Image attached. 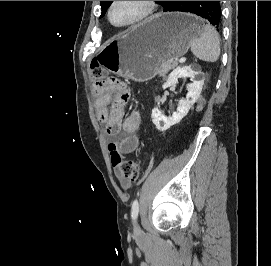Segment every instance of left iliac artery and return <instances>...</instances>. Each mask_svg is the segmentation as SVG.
<instances>
[{"mask_svg": "<svg viewBox=\"0 0 271 266\" xmlns=\"http://www.w3.org/2000/svg\"><path fill=\"white\" fill-rule=\"evenodd\" d=\"M139 212V203L137 200H134L131 207V217L133 220H136Z\"/></svg>", "mask_w": 271, "mask_h": 266, "instance_id": "obj_1", "label": "left iliac artery"}]
</instances>
